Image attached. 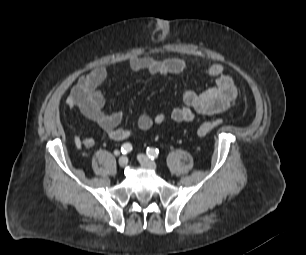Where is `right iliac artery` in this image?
<instances>
[{"label": "right iliac artery", "instance_id": "right-iliac-artery-1", "mask_svg": "<svg viewBox=\"0 0 306 255\" xmlns=\"http://www.w3.org/2000/svg\"><path fill=\"white\" fill-rule=\"evenodd\" d=\"M131 150H132V145H131L130 143H124V144L121 146V152H122L123 154L129 153Z\"/></svg>", "mask_w": 306, "mask_h": 255}]
</instances>
